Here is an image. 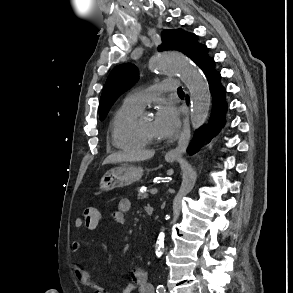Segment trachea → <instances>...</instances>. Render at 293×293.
Segmentation results:
<instances>
[{
  "label": "trachea",
  "mask_w": 293,
  "mask_h": 293,
  "mask_svg": "<svg viewBox=\"0 0 293 293\" xmlns=\"http://www.w3.org/2000/svg\"><path fill=\"white\" fill-rule=\"evenodd\" d=\"M178 93H183L182 89H179V90H178Z\"/></svg>",
  "instance_id": "3493384b"
}]
</instances>
